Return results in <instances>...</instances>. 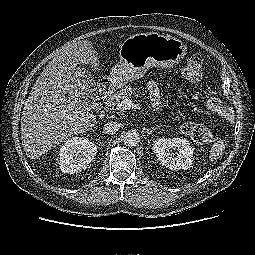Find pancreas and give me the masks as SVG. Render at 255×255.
Instances as JSON below:
<instances>
[{
	"label": "pancreas",
	"mask_w": 255,
	"mask_h": 255,
	"mask_svg": "<svg viewBox=\"0 0 255 255\" xmlns=\"http://www.w3.org/2000/svg\"><path fill=\"white\" fill-rule=\"evenodd\" d=\"M136 91L137 88H133L132 86H125L121 88L116 93L110 96L109 101L107 102L108 109H114L121 99L130 98L136 95Z\"/></svg>",
	"instance_id": "1"
}]
</instances>
